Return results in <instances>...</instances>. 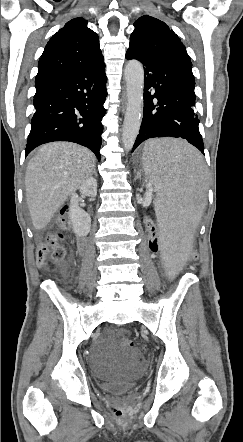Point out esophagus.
Here are the masks:
<instances>
[{"mask_svg":"<svg viewBox=\"0 0 243 442\" xmlns=\"http://www.w3.org/2000/svg\"><path fill=\"white\" fill-rule=\"evenodd\" d=\"M122 108H123V109L125 108V103H123Z\"/></svg>","mask_w":243,"mask_h":442,"instance_id":"obj_1","label":"esophagus"}]
</instances>
